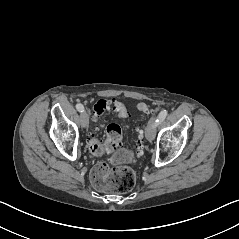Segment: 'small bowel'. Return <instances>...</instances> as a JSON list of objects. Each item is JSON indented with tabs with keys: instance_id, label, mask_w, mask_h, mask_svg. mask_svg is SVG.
<instances>
[{
	"instance_id": "obj_1",
	"label": "small bowel",
	"mask_w": 239,
	"mask_h": 239,
	"mask_svg": "<svg viewBox=\"0 0 239 239\" xmlns=\"http://www.w3.org/2000/svg\"><path fill=\"white\" fill-rule=\"evenodd\" d=\"M112 101H113V107L117 113L126 112V109L123 103L119 101H115V100H112Z\"/></svg>"
}]
</instances>
